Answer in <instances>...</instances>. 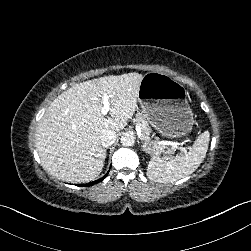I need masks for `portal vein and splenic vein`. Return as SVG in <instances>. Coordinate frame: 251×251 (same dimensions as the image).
Listing matches in <instances>:
<instances>
[{
  "label": "portal vein and splenic vein",
  "mask_w": 251,
  "mask_h": 251,
  "mask_svg": "<svg viewBox=\"0 0 251 251\" xmlns=\"http://www.w3.org/2000/svg\"><path fill=\"white\" fill-rule=\"evenodd\" d=\"M112 97V95L104 94L102 96V103L103 107L101 109L102 115H107V113L110 111V102L109 99ZM136 132L138 135V139L140 141H143L145 139V136L141 133V127L139 125H136ZM162 145L164 147H175L180 152H186L188 150V147L186 145H182L179 140H164L162 142Z\"/></svg>",
  "instance_id": "18ae733b"
}]
</instances>
